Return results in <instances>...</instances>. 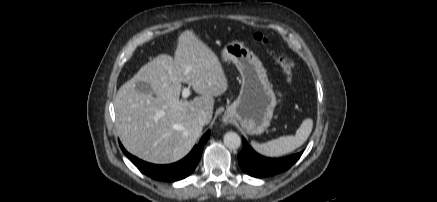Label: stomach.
I'll return each mask as SVG.
<instances>
[{
  "mask_svg": "<svg viewBox=\"0 0 437 202\" xmlns=\"http://www.w3.org/2000/svg\"><path fill=\"white\" fill-rule=\"evenodd\" d=\"M221 56L234 63L242 77L239 96L227 107L224 119L237 120L248 134L263 133L277 104L266 69L253 52L237 41L225 45Z\"/></svg>",
  "mask_w": 437,
  "mask_h": 202,
  "instance_id": "stomach-1",
  "label": "stomach"
}]
</instances>
